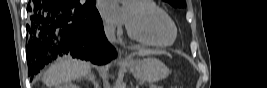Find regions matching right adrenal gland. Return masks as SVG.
Returning a JSON list of instances; mask_svg holds the SVG:
<instances>
[{
    "label": "right adrenal gland",
    "mask_w": 267,
    "mask_h": 88,
    "mask_svg": "<svg viewBox=\"0 0 267 88\" xmlns=\"http://www.w3.org/2000/svg\"><path fill=\"white\" fill-rule=\"evenodd\" d=\"M84 78L91 81L94 84L95 88H99V83L95 80V76L93 73L85 75Z\"/></svg>",
    "instance_id": "right-adrenal-gland-1"
}]
</instances>
